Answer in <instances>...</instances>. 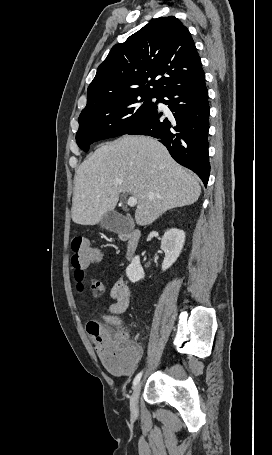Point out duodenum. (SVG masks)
Masks as SVG:
<instances>
[{
	"label": "duodenum",
	"mask_w": 272,
	"mask_h": 455,
	"mask_svg": "<svg viewBox=\"0 0 272 455\" xmlns=\"http://www.w3.org/2000/svg\"><path fill=\"white\" fill-rule=\"evenodd\" d=\"M118 237L121 240L125 241L126 257L129 261L132 260L139 247V242L141 238L140 231L138 229H133L127 232H119Z\"/></svg>",
	"instance_id": "1"
}]
</instances>
